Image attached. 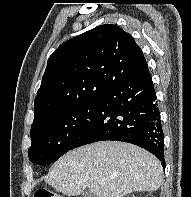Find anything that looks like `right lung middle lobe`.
<instances>
[{"label": "right lung middle lobe", "mask_w": 191, "mask_h": 197, "mask_svg": "<svg viewBox=\"0 0 191 197\" xmlns=\"http://www.w3.org/2000/svg\"><path fill=\"white\" fill-rule=\"evenodd\" d=\"M97 109V101L75 105L31 127L30 161L43 166L55 162L71 149Z\"/></svg>", "instance_id": "dd1d6c3e"}]
</instances>
